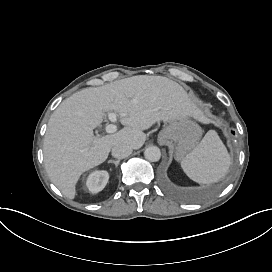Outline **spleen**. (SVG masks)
Returning <instances> with one entry per match:
<instances>
[{"label": "spleen", "mask_w": 272, "mask_h": 272, "mask_svg": "<svg viewBox=\"0 0 272 272\" xmlns=\"http://www.w3.org/2000/svg\"><path fill=\"white\" fill-rule=\"evenodd\" d=\"M230 165L231 157L215 130H209L181 161L186 175L199 184L218 182L228 173Z\"/></svg>", "instance_id": "obj_1"}]
</instances>
